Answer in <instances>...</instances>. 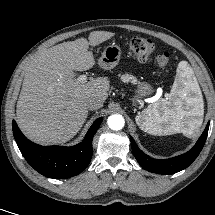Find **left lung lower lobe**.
I'll use <instances>...</instances> for the list:
<instances>
[{
  "mask_svg": "<svg viewBox=\"0 0 215 215\" xmlns=\"http://www.w3.org/2000/svg\"><path fill=\"white\" fill-rule=\"evenodd\" d=\"M209 122L194 145L188 152L166 160L153 159L142 152L136 145L134 139L130 137L133 154L139 164L146 170L159 174H174L187 168L199 155L207 138Z\"/></svg>",
  "mask_w": 215,
  "mask_h": 215,
  "instance_id": "0a47b994",
  "label": "left lung lower lobe"
}]
</instances>
